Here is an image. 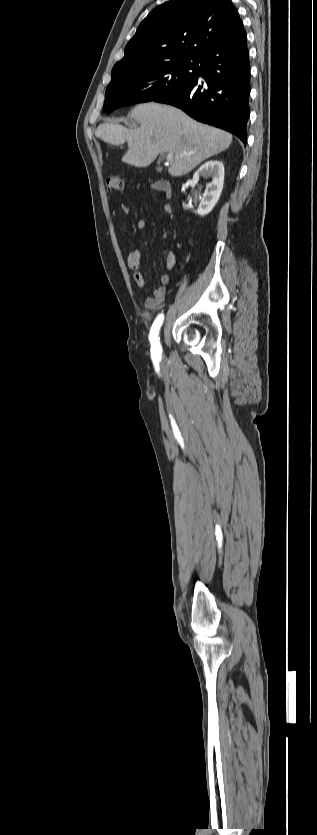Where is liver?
<instances>
[{
    "label": "liver",
    "mask_w": 317,
    "mask_h": 835,
    "mask_svg": "<svg viewBox=\"0 0 317 835\" xmlns=\"http://www.w3.org/2000/svg\"><path fill=\"white\" fill-rule=\"evenodd\" d=\"M130 117L139 126L128 129L116 122L100 124L95 136L111 145L127 142L122 162L147 167L159 154L172 153L168 172L183 176L209 157L226 150L232 135L199 123L182 110L154 102L137 105Z\"/></svg>",
    "instance_id": "1"
}]
</instances>
